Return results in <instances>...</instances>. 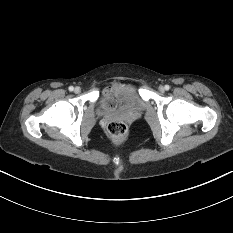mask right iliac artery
<instances>
[{"label":"right iliac artery","instance_id":"right-iliac-artery-1","mask_svg":"<svg viewBox=\"0 0 233 233\" xmlns=\"http://www.w3.org/2000/svg\"><path fill=\"white\" fill-rule=\"evenodd\" d=\"M74 90V87L73 86H70L69 87V91H73Z\"/></svg>","mask_w":233,"mask_h":233}]
</instances>
